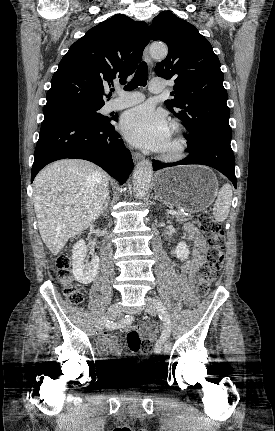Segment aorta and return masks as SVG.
<instances>
[{"instance_id": "aorta-1", "label": "aorta", "mask_w": 275, "mask_h": 431, "mask_svg": "<svg viewBox=\"0 0 275 431\" xmlns=\"http://www.w3.org/2000/svg\"><path fill=\"white\" fill-rule=\"evenodd\" d=\"M168 49L165 45L153 44L150 47V54L155 59L166 57ZM153 175L152 163L143 159L135 167L133 173V190L136 198L142 199L149 191L151 178Z\"/></svg>"}]
</instances>
